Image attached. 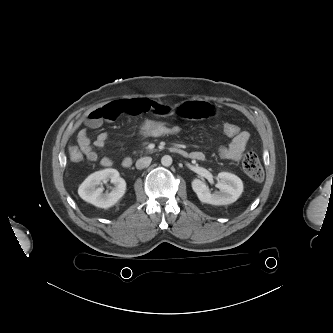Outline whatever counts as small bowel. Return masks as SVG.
I'll return each instance as SVG.
<instances>
[{"label":"small bowel","mask_w":333,"mask_h":333,"mask_svg":"<svg viewBox=\"0 0 333 333\" xmlns=\"http://www.w3.org/2000/svg\"><path fill=\"white\" fill-rule=\"evenodd\" d=\"M149 111H153L163 117L170 115V109L168 107L145 98L116 100L93 110L85 120V127L80 129L77 133L76 140L78 149L87 160L91 162L96 161L98 154L91 144L88 129L98 128L104 121L114 120L121 115L128 114L138 116ZM108 140L109 136L106 133H100L95 138L93 145L97 149H102ZM248 140L249 134L244 131L240 132L228 145L220 147V155L228 160H241ZM190 155L198 160L204 158L203 153L198 151L192 152ZM100 164L104 167H110L113 161L110 157L104 156L100 159Z\"/></svg>","instance_id":"small-bowel-1"}]
</instances>
